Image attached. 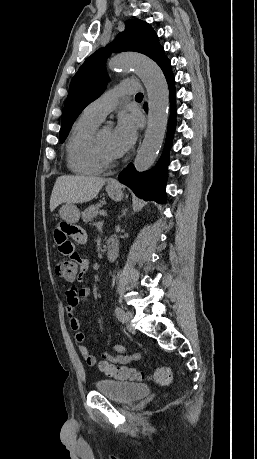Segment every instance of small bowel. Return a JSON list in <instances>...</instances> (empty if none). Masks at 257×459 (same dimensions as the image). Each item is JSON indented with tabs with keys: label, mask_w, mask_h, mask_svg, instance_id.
Here are the masks:
<instances>
[{
	"label": "small bowel",
	"mask_w": 257,
	"mask_h": 459,
	"mask_svg": "<svg viewBox=\"0 0 257 459\" xmlns=\"http://www.w3.org/2000/svg\"><path fill=\"white\" fill-rule=\"evenodd\" d=\"M53 243L58 248L61 258H66L68 264H80L82 279L88 267V257L76 244H87L88 236L85 235L84 227H76L75 223H56L53 230ZM91 297V291L87 287H71L66 291V315L69 318L70 328L76 332L75 340L82 343L85 334L81 331V321L75 316L77 307L81 302H86ZM116 354L105 351L103 358L106 361L118 364H127L140 359L139 353L129 354L125 346L117 344L112 347ZM79 352L85 362L90 366L97 364V358L85 345L79 346Z\"/></svg>",
	"instance_id": "small-bowel-1"
}]
</instances>
